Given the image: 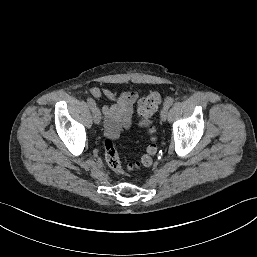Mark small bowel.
Masks as SVG:
<instances>
[{
    "label": "small bowel",
    "mask_w": 257,
    "mask_h": 257,
    "mask_svg": "<svg viewBox=\"0 0 257 257\" xmlns=\"http://www.w3.org/2000/svg\"><path fill=\"white\" fill-rule=\"evenodd\" d=\"M88 93L96 98L116 100L115 104L103 107L105 133L108 137L116 138L122 128H130L132 126L134 105L139 97L138 91H126L116 94L106 88L90 87Z\"/></svg>",
    "instance_id": "c3829d8e"
}]
</instances>
